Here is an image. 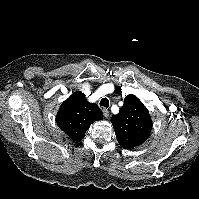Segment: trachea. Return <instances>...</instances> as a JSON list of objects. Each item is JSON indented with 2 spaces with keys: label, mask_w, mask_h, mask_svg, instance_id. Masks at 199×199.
Returning a JSON list of instances; mask_svg holds the SVG:
<instances>
[{
  "label": "trachea",
  "mask_w": 199,
  "mask_h": 199,
  "mask_svg": "<svg viewBox=\"0 0 199 199\" xmlns=\"http://www.w3.org/2000/svg\"><path fill=\"white\" fill-rule=\"evenodd\" d=\"M100 106H103L105 108H108L109 107V100L107 98H103L101 101H100Z\"/></svg>",
  "instance_id": "1"
}]
</instances>
